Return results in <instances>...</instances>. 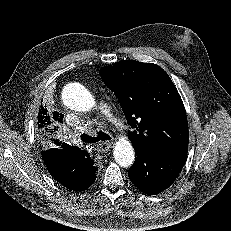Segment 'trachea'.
Listing matches in <instances>:
<instances>
[{
	"label": "trachea",
	"mask_w": 231,
	"mask_h": 231,
	"mask_svg": "<svg viewBox=\"0 0 231 231\" xmlns=\"http://www.w3.org/2000/svg\"><path fill=\"white\" fill-rule=\"evenodd\" d=\"M81 140L82 142H85V143H96V142H99V141H107V140H110L111 137L105 133V132H97V136H89L88 134H82L81 135Z\"/></svg>",
	"instance_id": "1"
}]
</instances>
